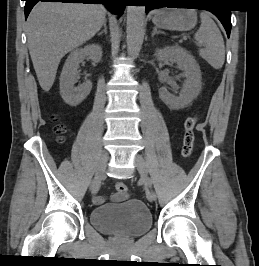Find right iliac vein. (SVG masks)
Returning a JSON list of instances; mask_svg holds the SVG:
<instances>
[{
	"label": "right iliac vein",
	"mask_w": 259,
	"mask_h": 266,
	"mask_svg": "<svg viewBox=\"0 0 259 266\" xmlns=\"http://www.w3.org/2000/svg\"><path fill=\"white\" fill-rule=\"evenodd\" d=\"M109 159V155L106 151H103L101 153L98 165H97V169H96V173L93 179V185H91V192L93 195H95L100 187L101 181L104 178V173L106 170V166H107V162Z\"/></svg>",
	"instance_id": "1"
}]
</instances>
